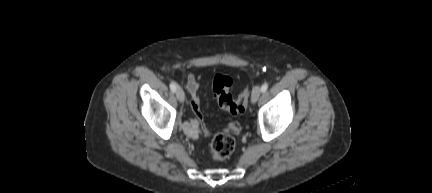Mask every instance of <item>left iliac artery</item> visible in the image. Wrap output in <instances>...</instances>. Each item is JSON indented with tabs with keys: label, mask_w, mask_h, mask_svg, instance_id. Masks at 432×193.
I'll use <instances>...</instances> for the list:
<instances>
[{
	"label": "left iliac artery",
	"mask_w": 432,
	"mask_h": 193,
	"mask_svg": "<svg viewBox=\"0 0 432 193\" xmlns=\"http://www.w3.org/2000/svg\"><path fill=\"white\" fill-rule=\"evenodd\" d=\"M267 89H268V84H267V83H264V84L262 85V87H261V91H262V93L266 92Z\"/></svg>",
	"instance_id": "44dca946"
}]
</instances>
